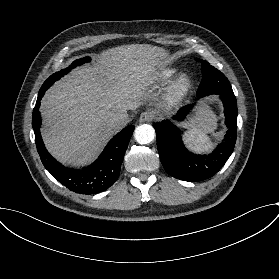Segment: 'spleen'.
I'll use <instances>...</instances> for the list:
<instances>
[{"label": "spleen", "mask_w": 279, "mask_h": 279, "mask_svg": "<svg viewBox=\"0 0 279 279\" xmlns=\"http://www.w3.org/2000/svg\"><path fill=\"white\" fill-rule=\"evenodd\" d=\"M217 126V117L212 110L206 106L201 119L188 126L183 139L187 147L196 153H209L215 144L207 136L208 132L213 131Z\"/></svg>", "instance_id": "1"}]
</instances>
